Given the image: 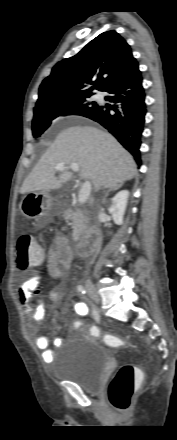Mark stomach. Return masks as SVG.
<instances>
[{
    "label": "stomach",
    "mask_w": 177,
    "mask_h": 440,
    "mask_svg": "<svg viewBox=\"0 0 177 440\" xmlns=\"http://www.w3.org/2000/svg\"><path fill=\"white\" fill-rule=\"evenodd\" d=\"M21 213L37 222H48L58 214L59 207L47 191L27 193L20 203Z\"/></svg>",
    "instance_id": "1"
}]
</instances>
